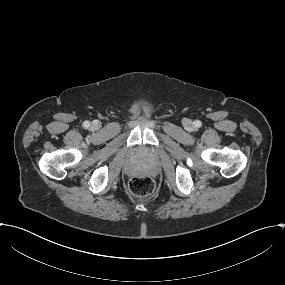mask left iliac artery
<instances>
[{"label":"left iliac artery","instance_id":"left-iliac-artery-1","mask_svg":"<svg viewBox=\"0 0 285 285\" xmlns=\"http://www.w3.org/2000/svg\"><path fill=\"white\" fill-rule=\"evenodd\" d=\"M197 128H200L202 126V122L200 120H196L193 123Z\"/></svg>","mask_w":285,"mask_h":285}]
</instances>
